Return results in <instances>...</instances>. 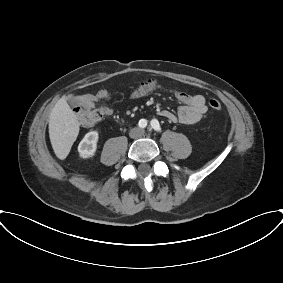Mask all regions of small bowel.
<instances>
[{"instance_id":"1","label":"small bowel","mask_w":283,"mask_h":283,"mask_svg":"<svg viewBox=\"0 0 283 283\" xmlns=\"http://www.w3.org/2000/svg\"><path fill=\"white\" fill-rule=\"evenodd\" d=\"M156 88L152 81L144 82L132 91L130 97L133 100L143 98ZM176 98L182 103L177 112L170 110H160L159 115L170 122H178L184 125H193L201 120L207 106L205 98L200 94H189L186 92H177ZM110 97L107 89L101 88L96 93H86L77 97V100L84 106L94 107L100 101H106ZM99 113L104 116H110L113 110L108 106H101Z\"/></svg>"}]
</instances>
